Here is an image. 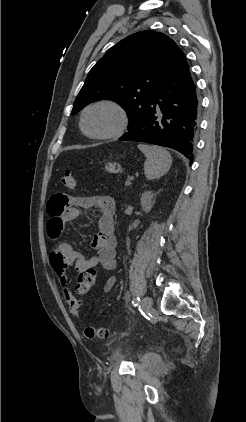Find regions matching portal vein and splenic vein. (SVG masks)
<instances>
[{
  "label": "portal vein and splenic vein",
  "mask_w": 246,
  "mask_h": 422,
  "mask_svg": "<svg viewBox=\"0 0 246 422\" xmlns=\"http://www.w3.org/2000/svg\"><path fill=\"white\" fill-rule=\"evenodd\" d=\"M132 180H134V177H133V176L129 177V180H128V182H127V183H129V182H130V181H132Z\"/></svg>",
  "instance_id": "1"
}]
</instances>
